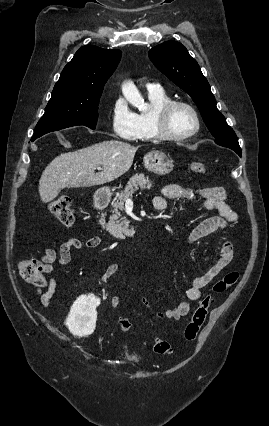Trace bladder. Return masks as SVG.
Masks as SVG:
<instances>
[{
	"label": "bladder",
	"mask_w": 269,
	"mask_h": 426,
	"mask_svg": "<svg viewBox=\"0 0 269 426\" xmlns=\"http://www.w3.org/2000/svg\"><path fill=\"white\" fill-rule=\"evenodd\" d=\"M126 358L133 362H137L141 360V356L136 353H127Z\"/></svg>",
	"instance_id": "obj_1"
}]
</instances>
